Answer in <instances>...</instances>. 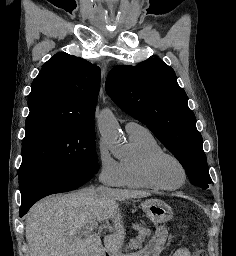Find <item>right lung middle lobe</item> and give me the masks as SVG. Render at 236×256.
Masks as SVG:
<instances>
[{
	"mask_svg": "<svg viewBox=\"0 0 236 256\" xmlns=\"http://www.w3.org/2000/svg\"><path fill=\"white\" fill-rule=\"evenodd\" d=\"M19 169L20 190L59 175L98 172L94 124L37 120L26 122Z\"/></svg>",
	"mask_w": 236,
	"mask_h": 256,
	"instance_id": "obj_1",
	"label": "right lung middle lobe"
}]
</instances>
